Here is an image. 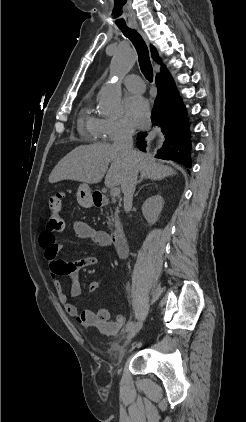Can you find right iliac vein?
Segmentation results:
<instances>
[{
	"label": "right iliac vein",
	"mask_w": 246,
	"mask_h": 422,
	"mask_svg": "<svg viewBox=\"0 0 246 422\" xmlns=\"http://www.w3.org/2000/svg\"><path fill=\"white\" fill-rule=\"evenodd\" d=\"M141 327H142V321H138V322L134 323V325L131 328L130 333L127 337L126 344H128L135 337V335L139 332Z\"/></svg>",
	"instance_id": "obj_1"
}]
</instances>
